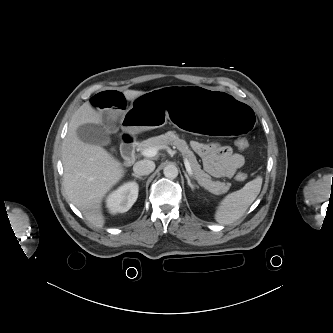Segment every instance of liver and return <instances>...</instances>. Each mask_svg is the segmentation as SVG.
I'll return each instance as SVG.
<instances>
[{"label":"liver","mask_w":333,"mask_h":333,"mask_svg":"<svg viewBox=\"0 0 333 333\" xmlns=\"http://www.w3.org/2000/svg\"><path fill=\"white\" fill-rule=\"evenodd\" d=\"M143 91L125 90L127 100ZM102 124V114L91 103H84L72 116L62 144L63 188L74 204L96 227H103L102 199L124 175L122 164L99 145L79 139L77 128L83 124Z\"/></svg>","instance_id":"1"}]
</instances>
